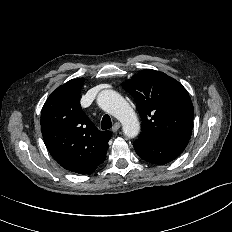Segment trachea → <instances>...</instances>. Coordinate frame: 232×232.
I'll use <instances>...</instances> for the list:
<instances>
[{
    "label": "trachea",
    "mask_w": 232,
    "mask_h": 232,
    "mask_svg": "<svg viewBox=\"0 0 232 232\" xmlns=\"http://www.w3.org/2000/svg\"><path fill=\"white\" fill-rule=\"evenodd\" d=\"M112 127V121L109 115H104L101 121V128L103 130L110 129Z\"/></svg>",
    "instance_id": "1"
}]
</instances>
